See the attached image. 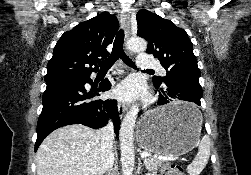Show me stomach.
<instances>
[{
  "instance_id": "0dacf381",
  "label": "stomach",
  "mask_w": 251,
  "mask_h": 175,
  "mask_svg": "<svg viewBox=\"0 0 251 175\" xmlns=\"http://www.w3.org/2000/svg\"><path fill=\"white\" fill-rule=\"evenodd\" d=\"M201 129L202 117L192 100H172L141 117L136 137L150 154L183 155L198 145Z\"/></svg>"
}]
</instances>
